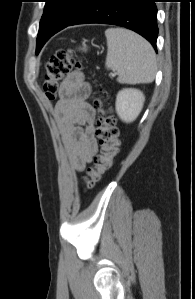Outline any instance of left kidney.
<instances>
[{
    "mask_svg": "<svg viewBox=\"0 0 195 299\" xmlns=\"http://www.w3.org/2000/svg\"><path fill=\"white\" fill-rule=\"evenodd\" d=\"M145 97L137 89L126 88L118 92L116 98V112L119 118L126 122H133L141 112Z\"/></svg>",
    "mask_w": 195,
    "mask_h": 299,
    "instance_id": "1",
    "label": "left kidney"
}]
</instances>
